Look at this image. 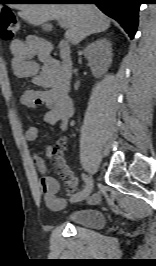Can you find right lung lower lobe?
Returning <instances> with one entry per match:
<instances>
[{
	"mask_svg": "<svg viewBox=\"0 0 156 266\" xmlns=\"http://www.w3.org/2000/svg\"><path fill=\"white\" fill-rule=\"evenodd\" d=\"M143 0H46L55 4H96L109 17L118 21L131 39L137 30L138 12Z\"/></svg>",
	"mask_w": 156,
	"mask_h": 266,
	"instance_id": "obj_1",
	"label": "right lung lower lobe"
}]
</instances>
